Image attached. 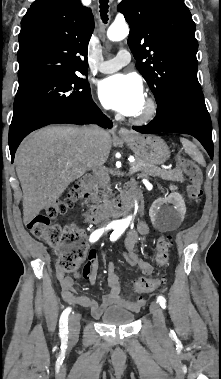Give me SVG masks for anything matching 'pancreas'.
<instances>
[{
	"mask_svg": "<svg viewBox=\"0 0 221 379\" xmlns=\"http://www.w3.org/2000/svg\"><path fill=\"white\" fill-rule=\"evenodd\" d=\"M132 167L136 168V171H140L145 175H150V176H158L163 180H170V181H177V182H182L184 181L183 173L182 170L179 168L173 169V170H162L159 169L156 166H152L147 164L141 159H137L136 161L131 164ZM96 194H98V188H95Z\"/></svg>",
	"mask_w": 221,
	"mask_h": 379,
	"instance_id": "cf45deb5",
	"label": "pancreas"
}]
</instances>
